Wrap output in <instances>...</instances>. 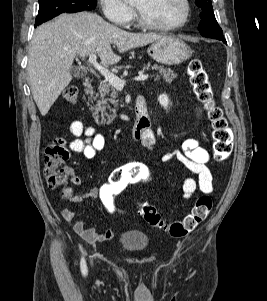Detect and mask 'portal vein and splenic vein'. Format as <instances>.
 Segmentation results:
<instances>
[{
	"instance_id": "1",
	"label": "portal vein and splenic vein",
	"mask_w": 267,
	"mask_h": 301,
	"mask_svg": "<svg viewBox=\"0 0 267 301\" xmlns=\"http://www.w3.org/2000/svg\"><path fill=\"white\" fill-rule=\"evenodd\" d=\"M88 62L93 65V67L101 73L106 81H108L114 88L116 89H122L126 83L125 80L120 79L118 76H116L114 73L110 72L107 68L104 66L100 65L96 61V54H91L89 56ZM147 74L139 73L138 76L134 78L135 81H144L148 79Z\"/></svg>"
}]
</instances>
